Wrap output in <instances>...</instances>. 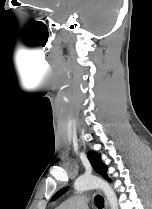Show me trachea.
Segmentation results:
<instances>
[{"mask_svg":"<svg viewBox=\"0 0 152 209\" xmlns=\"http://www.w3.org/2000/svg\"><path fill=\"white\" fill-rule=\"evenodd\" d=\"M94 201H95V205L97 207H99V208L100 207H103V205H104V199L100 195H96Z\"/></svg>","mask_w":152,"mask_h":209,"instance_id":"obj_1","label":"trachea"}]
</instances>
